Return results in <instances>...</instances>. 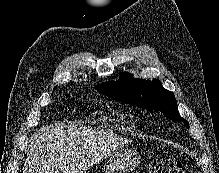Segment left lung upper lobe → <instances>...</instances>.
<instances>
[{
	"label": "left lung upper lobe",
	"mask_w": 219,
	"mask_h": 173,
	"mask_svg": "<svg viewBox=\"0 0 219 173\" xmlns=\"http://www.w3.org/2000/svg\"><path fill=\"white\" fill-rule=\"evenodd\" d=\"M95 88L107 97L120 102L137 105L147 110H159L168 119L183 121L189 128L188 122L178 112L174 94L164 89L157 79L152 81L136 79L131 74L124 72L118 81L98 84Z\"/></svg>",
	"instance_id": "left-lung-upper-lobe-1"
}]
</instances>
